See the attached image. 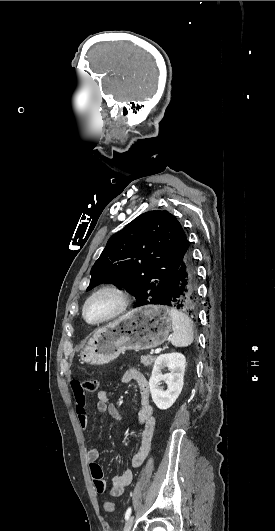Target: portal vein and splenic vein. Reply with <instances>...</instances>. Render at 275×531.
<instances>
[{
    "mask_svg": "<svg viewBox=\"0 0 275 531\" xmlns=\"http://www.w3.org/2000/svg\"><path fill=\"white\" fill-rule=\"evenodd\" d=\"M168 342H172V339H168ZM160 350L161 347H158V349H156L155 355H158V353H160Z\"/></svg>",
    "mask_w": 275,
    "mask_h": 531,
    "instance_id": "18ae733b",
    "label": "portal vein and splenic vein"
}]
</instances>
